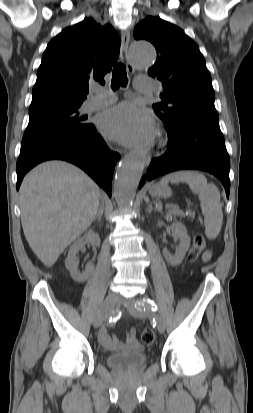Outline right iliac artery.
Returning a JSON list of instances; mask_svg holds the SVG:
<instances>
[{"mask_svg": "<svg viewBox=\"0 0 253 413\" xmlns=\"http://www.w3.org/2000/svg\"><path fill=\"white\" fill-rule=\"evenodd\" d=\"M121 313H115L114 315L109 317V322H115L118 318H120Z\"/></svg>", "mask_w": 253, "mask_h": 413, "instance_id": "82829eb1", "label": "right iliac artery"}]
</instances>
